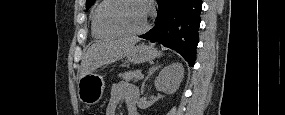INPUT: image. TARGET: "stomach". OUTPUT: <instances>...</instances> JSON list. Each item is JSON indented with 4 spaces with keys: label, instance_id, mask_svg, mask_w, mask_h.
<instances>
[{
    "label": "stomach",
    "instance_id": "0dacf381",
    "mask_svg": "<svg viewBox=\"0 0 285 115\" xmlns=\"http://www.w3.org/2000/svg\"><path fill=\"white\" fill-rule=\"evenodd\" d=\"M158 51L152 46L139 44L127 54V60L133 64H141L153 60ZM105 89L104 79L92 71L82 77L78 82V97L86 105H94L100 101Z\"/></svg>",
    "mask_w": 285,
    "mask_h": 115
}]
</instances>
